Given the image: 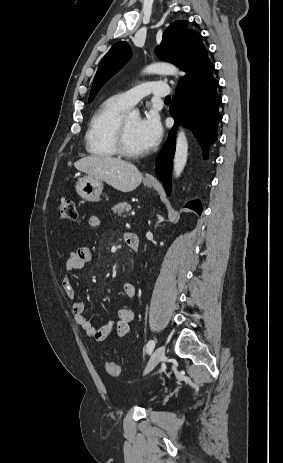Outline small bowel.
I'll return each instance as SVG.
<instances>
[{
    "label": "small bowel",
    "mask_w": 283,
    "mask_h": 463,
    "mask_svg": "<svg viewBox=\"0 0 283 463\" xmlns=\"http://www.w3.org/2000/svg\"><path fill=\"white\" fill-rule=\"evenodd\" d=\"M88 225L91 228H98L100 220L97 216H90ZM93 258V253L90 247L83 246L76 251L69 253L63 271L62 286L69 300L72 302V312L75 322L85 331L88 337L96 341L107 340L114 331L119 337L126 336L130 331V324L134 319V311L129 307H122L117 311V318L113 321L96 328L91 320L88 319L85 313V303L76 299L75 288L71 278L74 270L82 268L89 263ZM122 295L127 300H133L135 297V287L131 283H125L121 289Z\"/></svg>",
    "instance_id": "obj_1"
}]
</instances>
